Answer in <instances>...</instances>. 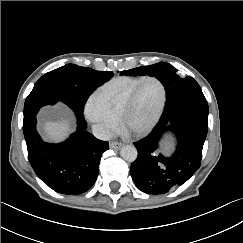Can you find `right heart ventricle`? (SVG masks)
Here are the masks:
<instances>
[{"mask_svg":"<svg viewBox=\"0 0 243 243\" xmlns=\"http://www.w3.org/2000/svg\"><path fill=\"white\" fill-rule=\"evenodd\" d=\"M144 76H121L114 78L97 89L95 100L111 115L119 118L120 111L129 94Z\"/></svg>","mask_w":243,"mask_h":243,"instance_id":"right-heart-ventricle-1","label":"right heart ventricle"}]
</instances>
